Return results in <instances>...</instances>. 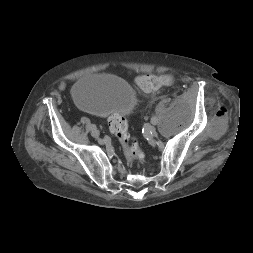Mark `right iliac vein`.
Masks as SVG:
<instances>
[{"mask_svg":"<svg viewBox=\"0 0 253 253\" xmlns=\"http://www.w3.org/2000/svg\"><path fill=\"white\" fill-rule=\"evenodd\" d=\"M91 135L95 138H97L99 136V131L95 128L91 131Z\"/></svg>","mask_w":253,"mask_h":253,"instance_id":"63e3f726","label":"right iliac vein"}]
</instances>
